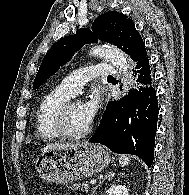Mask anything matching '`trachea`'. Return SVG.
Segmentation results:
<instances>
[{"label":"trachea","instance_id":"3493384b","mask_svg":"<svg viewBox=\"0 0 189 195\" xmlns=\"http://www.w3.org/2000/svg\"><path fill=\"white\" fill-rule=\"evenodd\" d=\"M108 78H113V76L109 75Z\"/></svg>","mask_w":189,"mask_h":195}]
</instances>
